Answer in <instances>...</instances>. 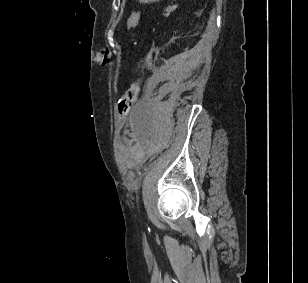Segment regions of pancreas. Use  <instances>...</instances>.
<instances>
[{
  "label": "pancreas",
  "mask_w": 308,
  "mask_h": 283,
  "mask_svg": "<svg viewBox=\"0 0 308 283\" xmlns=\"http://www.w3.org/2000/svg\"><path fill=\"white\" fill-rule=\"evenodd\" d=\"M170 11H171V9H170V8H167V9H166V12H167V13H166L165 15L168 16V15L170 14Z\"/></svg>",
  "instance_id": "pancreas-1"
}]
</instances>
